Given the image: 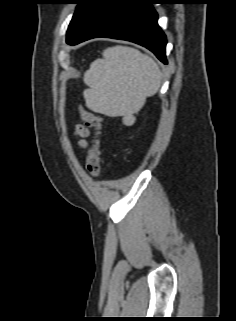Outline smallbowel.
<instances>
[{"instance_id": "c3829d8e", "label": "small bowel", "mask_w": 236, "mask_h": 321, "mask_svg": "<svg viewBox=\"0 0 236 321\" xmlns=\"http://www.w3.org/2000/svg\"><path fill=\"white\" fill-rule=\"evenodd\" d=\"M75 135L78 137L80 145L83 146L85 144V138L89 135V130L86 126L78 124L75 128Z\"/></svg>"}]
</instances>
